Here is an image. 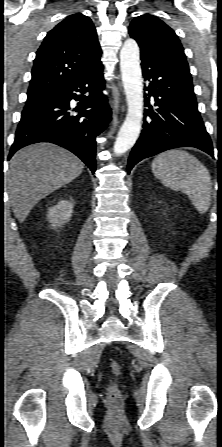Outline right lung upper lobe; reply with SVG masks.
<instances>
[{"mask_svg": "<svg viewBox=\"0 0 222 447\" xmlns=\"http://www.w3.org/2000/svg\"><path fill=\"white\" fill-rule=\"evenodd\" d=\"M101 48L91 19L68 16L44 38L36 53L28 99H48L100 63Z\"/></svg>", "mask_w": 222, "mask_h": 447, "instance_id": "right-lung-upper-lobe-1", "label": "right lung upper lobe"}]
</instances>
